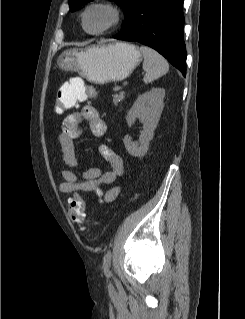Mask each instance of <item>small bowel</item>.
<instances>
[{
  "label": "small bowel",
  "mask_w": 245,
  "mask_h": 319,
  "mask_svg": "<svg viewBox=\"0 0 245 319\" xmlns=\"http://www.w3.org/2000/svg\"><path fill=\"white\" fill-rule=\"evenodd\" d=\"M81 85H83L82 78L72 77L61 86V89L69 92V95L72 96ZM83 121L87 123L91 133L96 137H102L106 132L105 121L99 111L92 105H85L66 115L61 123L58 135L63 159L67 165L62 173L64 181L60 185V191L64 194H95L100 202H111L120 192V188L115 182L124 171L122 159L109 145L102 144L100 153L109 164L110 169L104 172L96 168L88 169L82 173V179L80 180L75 171L78 166L75 140L82 133L80 123ZM106 184H112V186L106 192H103L101 186Z\"/></svg>",
  "instance_id": "1"
}]
</instances>
